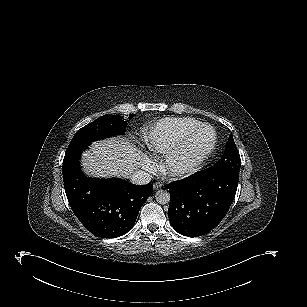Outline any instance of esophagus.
I'll return each instance as SVG.
<instances>
[{"mask_svg": "<svg viewBox=\"0 0 307 307\" xmlns=\"http://www.w3.org/2000/svg\"><path fill=\"white\" fill-rule=\"evenodd\" d=\"M162 187V184H160V183H154V185H153V189L156 191V190H158V189H160Z\"/></svg>", "mask_w": 307, "mask_h": 307, "instance_id": "1", "label": "esophagus"}]
</instances>
